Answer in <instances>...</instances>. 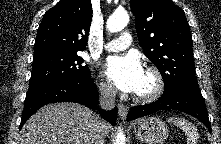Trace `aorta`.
Wrapping results in <instances>:
<instances>
[{
  "label": "aorta",
  "instance_id": "obj_1",
  "mask_svg": "<svg viewBox=\"0 0 221 144\" xmlns=\"http://www.w3.org/2000/svg\"><path fill=\"white\" fill-rule=\"evenodd\" d=\"M129 22V15L126 11H118L113 13L107 20V29L111 33L119 32L124 29ZM126 137L121 129H119L115 144H125Z\"/></svg>",
  "mask_w": 221,
  "mask_h": 144
}]
</instances>
